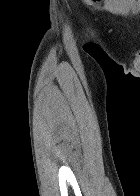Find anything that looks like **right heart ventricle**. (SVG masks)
<instances>
[{
	"label": "right heart ventricle",
	"instance_id": "1",
	"mask_svg": "<svg viewBox=\"0 0 140 196\" xmlns=\"http://www.w3.org/2000/svg\"><path fill=\"white\" fill-rule=\"evenodd\" d=\"M95 192H110V191H95Z\"/></svg>",
	"mask_w": 140,
	"mask_h": 196
}]
</instances>
